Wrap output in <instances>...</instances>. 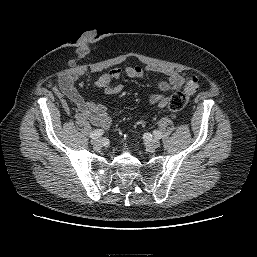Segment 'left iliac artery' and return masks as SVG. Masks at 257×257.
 <instances>
[{
  "instance_id": "left-iliac-artery-1",
  "label": "left iliac artery",
  "mask_w": 257,
  "mask_h": 257,
  "mask_svg": "<svg viewBox=\"0 0 257 257\" xmlns=\"http://www.w3.org/2000/svg\"><path fill=\"white\" fill-rule=\"evenodd\" d=\"M154 136L158 139H160L162 137V134L160 131H154Z\"/></svg>"
}]
</instances>
